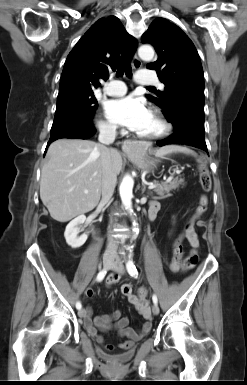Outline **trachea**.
Here are the masks:
<instances>
[{"label":"trachea","mask_w":247,"mask_h":385,"mask_svg":"<svg viewBox=\"0 0 247 385\" xmlns=\"http://www.w3.org/2000/svg\"><path fill=\"white\" fill-rule=\"evenodd\" d=\"M124 73H125L126 76H128V77H131V76H132V69H131V67H130L129 64H123V65H121V66L118 68L117 72H116L117 76H119V77H121Z\"/></svg>","instance_id":"obj_1"}]
</instances>
